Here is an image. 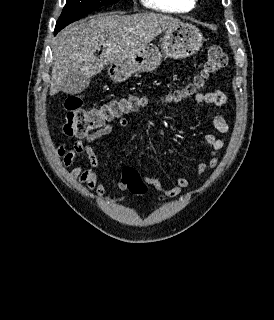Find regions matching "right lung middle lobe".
<instances>
[{
    "label": "right lung middle lobe",
    "instance_id": "dd1d6c3e",
    "mask_svg": "<svg viewBox=\"0 0 274 320\" xmlns=\"http://www.w3.org/2000/svg\"><path fill=\"white\" fill-rule=\"evenodd\" d=\"M119 0H66V5L59 17L55 31H60L68 24L79 20L91 11L109 4H114Z\"/></svg>",
    "mask_w": 274,
    "mask_h": 320
}]
</instances>
